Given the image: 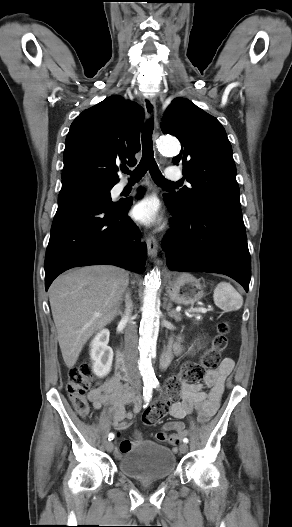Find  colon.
Listing matches in <instances>:
<instances>
[{"label":"colon","mask_w":292,"mask_h":527,"mask_svg":"<svg viewBox=\"0 0 292 527\" xmlns=\"http://www.w3.org/2000/svg\"><path fill=\"white\" fill-rule=\"evenodd\" d=\"M229 331L228 322L221 321L218 324L217 334L213 338L212 346L203 354L200 361L186 363L176 376L171 377L167 381V394L145 409L142 416L144 425H156L163 419L169 411L171 402L178 397L181 384L197 385L208 371L214 370L219 365L222 353L228 346ZM96 386L97 383L90 364L82 363L69 370L66 385L67 394L74 409L82 417H86L89 413L86 393L90 389H95Z\"/></svg>","instance_id":"obj_1"}]
</instances>
